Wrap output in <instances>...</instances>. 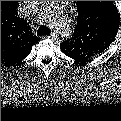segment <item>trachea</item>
Listing matches in <instances>:
<instances>
[{
    "label": "trachea",
    "instance_id": "3493384b",
    "mask_svg": "<svg viewBox=\"0 0 121 121\" xmlns=\"http://www.w3.org/2000/svg\"><path fill=\"white\" fill-rule=\"evenodd\" d=\"M46 31H47L46 27L42 26L38 29V34L43 35L46 33Z\"/></svg>",
    "mask_w": 121,
    "mask_h": 121
}]
</instances>
